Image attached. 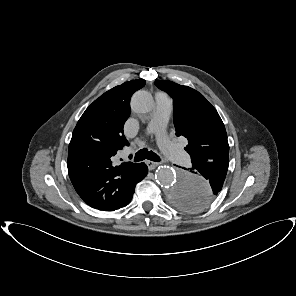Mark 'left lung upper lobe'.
<instances>
[{"mask_svg":"<svg viewBox=\"0 0 296 296\" xmlns=\"http://www.w3.org/2000/svg\"><path fill=\"white\" fill-rule=\"evenodd\" d=\"M155 85L174 101V125L177 136L188 140L185 150L191 162L229 160V145L224 124L216 109L196 90L168 80H156ZM193 194V193H189ZM196 200L177 196L174 204L184 210L194 209Z\"/></svg>","mask_w":296,"mask_h":296,"instance_id":"obj_1","label":"left lung upper lobe"}]
</instances>
